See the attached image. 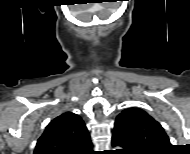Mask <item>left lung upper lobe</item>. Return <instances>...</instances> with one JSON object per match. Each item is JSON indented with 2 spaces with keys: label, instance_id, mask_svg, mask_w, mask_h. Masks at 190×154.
<instances>
[{
  "label": "left lung upper lobe",
  "instance_id": "5c2ea615",
  "mask_svg": "<svg viewBox=\"0 0 190 154\" xmlns=\"http://www.w3.org/2000/svg\"><path fill=\"white\" fill-rule=\"evenodd\" d=\"M121 125L127 135L143 150L152 153L171 146L163 127L140 108L123 110L115 125Z\"/></svg>",
  "mask_w": 190,
  "mask_h": 154
}]
</instances>
